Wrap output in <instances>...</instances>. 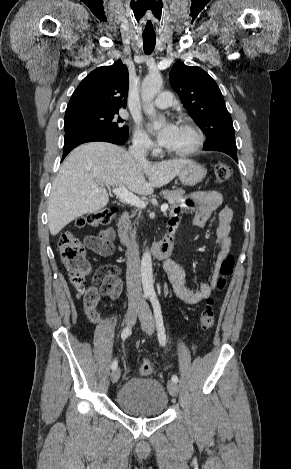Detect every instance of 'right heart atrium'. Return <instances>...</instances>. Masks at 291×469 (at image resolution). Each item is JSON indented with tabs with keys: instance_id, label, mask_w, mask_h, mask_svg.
I'll return each mask as SVG.
<instances>
[{
	"instance_id": "d8ad5b80",
	"label": "right heart atrium",
	"mask_w": 291,
	"mask_h": 469,
	"mask_svg": "<svg viewBox=\"0 0 291 469\" xmlns=\"http://www.w3.org/2000/svg\"><path fill=\"white\" fill-rule=\"evenodd\" d=\"M132 142L136 149L143 152L150 151L154 148V143L152 142L151 138L139 125H137L134 129Z\"/></svg>"
}]
</instances>
